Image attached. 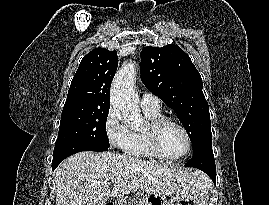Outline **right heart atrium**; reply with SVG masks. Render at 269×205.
<instances>
[{
    "label": "right heart atrium",
    "instance_id": "d8ad5b80",
    "mask_svg": "<svg viewBox=\"0 0 269 205\" xmlns=\"http://www.w3.org/2000/svg\"><path fill=\"white\" fill-rule=\"evenodd\" d=\"M104 132L109 144L120 150H125L131 141V131L123 125L113 108H110L104 118Z\"/></svg>",
    "mask_w": 269,
    "mask_h": 205
}]
</instances>
